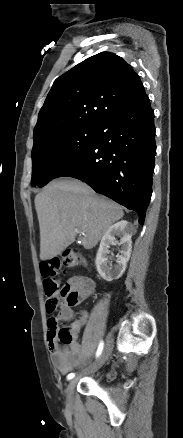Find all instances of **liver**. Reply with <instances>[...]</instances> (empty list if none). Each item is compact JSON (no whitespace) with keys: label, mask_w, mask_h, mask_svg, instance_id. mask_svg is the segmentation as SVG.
<instances>
[{"label":"liver","mask_w":183,"mask_h":438,"mask_svg":"<svg viewBox=\"0 0 183 438\" xmlns=\"http://www.w3.org/2000/svg\"><path fill=\"white\" fill-rule=\"evenodd\" d=\"M40 227V259L61 254L81 233L86 249L97 245L123 215L117 203L97 195L86 183L71 178L51 181L35 197Z\"/></svg>","instance_id":"obj_1"}]
</instances>
